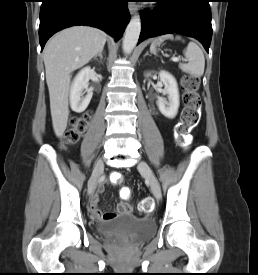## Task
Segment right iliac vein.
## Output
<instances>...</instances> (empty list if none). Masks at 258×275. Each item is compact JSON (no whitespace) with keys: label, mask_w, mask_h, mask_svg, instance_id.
Listing matches in <instances>:
<instances>
[{"label":"right iliac vein","mask_w":258,"mask_h":275,"mask_svg":"<svg viewBox=\"0 0 258 275\" xmlns=\"http://www.w3.org/2000/svg\"><path fill=\"white\" fill-rule=\"evenodd\" d=\"M103 169H104V162H103L102 159H98L96 164H95L93 173H92L91 178L89 180V183H88V194L89 195L94 192L95 187H96L97 182H98V179H99L100 175L103 172Z\"/></svg>","instance_id":"obj_1"}]
</instances>
